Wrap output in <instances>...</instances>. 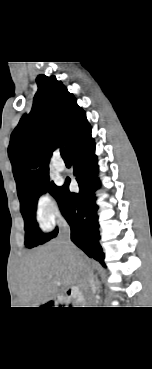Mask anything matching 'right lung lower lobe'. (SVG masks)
Listing matches in <instances>:
<instances>
[{"instance_id": "right-lung-lower-lobe-1", "label": "right lung lower lobe", "mask_w": 152, "mask_h": 369, "mask_svg": "<svg viewBox=\"0 0 152 369\" xmlns=\"http://www.w3.org/2000/svg\"><path fill=\"white\" fill-rule=\"evenodd\" d=\"M95 143L91 138V129L80 137L69 150L79 193L69 190L70 179L60 188L58 204L60 210L71 227V240L90 258L99 261L104 267V253L99 243V223L97 216L95 190L99 180ZM57 235V230H56ZM55 235V236H56Z\"/></svg>"}]
</instances>
